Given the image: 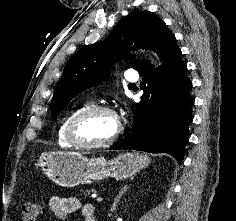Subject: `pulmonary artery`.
<instances>
[{"label":"pulmonary artery","mask_w":236,"mask_h":221,"mask_svg":"<svg viewBox=\"0 0 236 221\" xmlns=\"http://www.w3.org/2000/svg\"><path fill=\"white\" fill-rule=\"evenodd\" d=\"M125 79L128 81V82H136L138 80V76L131 73V72H128L126 73L125 75Z\"/></svg>","instance_id":"e3ab8cb5"}]
</instances>
